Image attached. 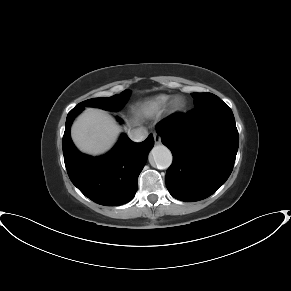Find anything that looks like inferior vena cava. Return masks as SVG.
I'll list each match as a JSON object with an SVG mask.
<instances>
[{
  "label": "inferior vena cava",
  "instance_id": "obj_1",
  "mask_svg": "<svg viewBox=\"0 0 291 291\" xmlns=\"http://www.w3.org/2000/svg\"><path fill=\"white\" fill-rule=\"evenodd\" d=\"M128 136L134 142H142L147 138L148 131L145 128L140 127L129 131Z\"/></svg>",
  "mask_w": 291,
  "mask_h": 291
}]
</instances>
